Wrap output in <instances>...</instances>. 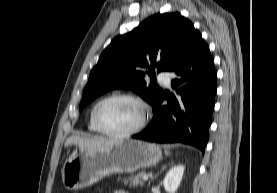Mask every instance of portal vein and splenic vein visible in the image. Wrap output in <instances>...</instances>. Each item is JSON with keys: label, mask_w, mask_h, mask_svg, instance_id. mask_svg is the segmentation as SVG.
I'll use <instances>...</instances> for the list:
<instances>
[{"label": "portal vein and splenic vein", "mask_w": 277, "mask_h": 193, "mask_svg": "<svg viewBox=\"0 0 277 193\" xmlns=\"http://www.w3.org/2000/svg\"><path fill=\"white\" fill-rule=\"evenodd\" d=\"M143 180H144V181L148 180V176H147V175H144V176H143Z\"/></svg>", "instance_id": "obj_1"}]
</instances>
